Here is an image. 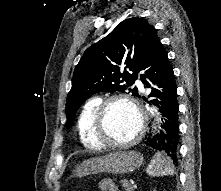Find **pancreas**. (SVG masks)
<instances>
[{
    "label": "pancreas",
    "instance_id": "1",
    "mask_svg": "<svg viewBox=\"0 0 221 191\" xmlns=\"http://www.w3.org/2000/svg\"><path fill=\"white\" fill-rule=\"evenodd\" d=\"M126 191H134L133 185L126 179L120 181Z\"/></svg>",
    "mask_w": 221,
    "mask_h": 191
}]
</instances>
